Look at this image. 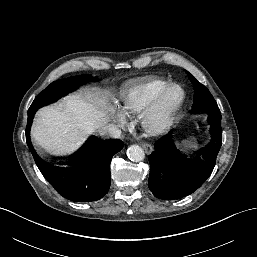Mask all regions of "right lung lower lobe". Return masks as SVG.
I'll list each match as a JSON object with an SVG mask.
<instances>
[{"label": "right lung lower lobe", "mask_w": 257, "mask_h": 257, "mask_svg": "<svg viewBox=\"0 0 257 257\" xmlns=\"http://www.w3.org/2000/svg\"><path fill=\"white\" fill-rule=\"evenodd\" d=\"M33 117L28 115L26 140L44 178L61 196L71 201L89 202L101 199L110 188V161L123 148L124 143L118 139L100 140L91 136L77 161L53 163L41 158L31 144L30 128Z\"/></svg>", "instance_id": "obj_1"}]
</instances>
